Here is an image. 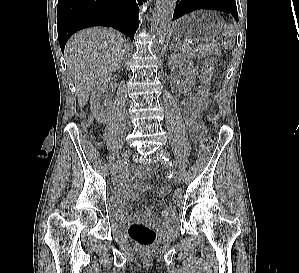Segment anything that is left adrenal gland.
<instances>
[{
    "label": "left adrenal gland",
    "instance_id": "left-adrenal-gland-1",
    "mask_svg": "<svg viewBox=\"0 0 299 273\" xmlns=\"http://www.w3.org/2000/svg\"><path fill=\"white\" fill-rule=\"evenodd\" d=\"M175 48V43H174V40H173V43L170 45V50L174 49ZM177 48V47H176Z\"/></svg>",
    "mask_w": 299,
    "mask_h": 273
}]
</instances>
